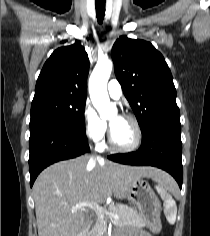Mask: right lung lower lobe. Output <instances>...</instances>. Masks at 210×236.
<instances>
[{"instance_id": "1", "label": "right lung lower lobe", "mask_w": 210, "mask_h": 236, "mask_svg": "<svg viewBox=\"0 0 210 236\" xmlns=\"http://www.w3.org/2000/svg\"><path fill=\"white\" fill-rule=\"evenodd\" d=\"M29 171L32 187L38 174L50 164L78 157L89 151L85 133L78 130L46 126L30 131Z\"/></svg>"}]
</instances>
